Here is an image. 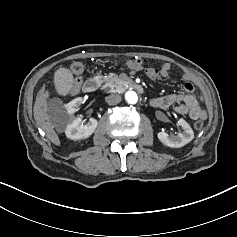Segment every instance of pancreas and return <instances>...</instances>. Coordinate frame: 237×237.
<instances>
[{"instance_id":"1","label":"pancreas","mask_w":237,"mask_h":237,"mask_svg":"<svg viewBox=\"0 0 237 237\" xmlns=\"http://www.w3.org/2000/svg\"><path fill=\"white\" fill-rule=\"evenodd\" d=\"M103 82L105 83V85L103 86L104 89L111 91L112 89H115L117 87L121 80L115 73H109L107 76L103 77Z\"/></svg>"}]
</instances>
